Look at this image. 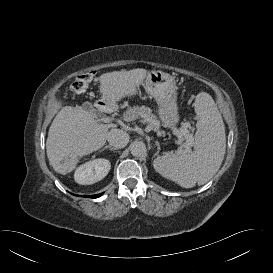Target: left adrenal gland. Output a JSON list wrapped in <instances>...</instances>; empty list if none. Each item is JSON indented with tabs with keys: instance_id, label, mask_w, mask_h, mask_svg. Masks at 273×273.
<instances>
[{
	"instance_id": "obj_1",
	"label": "left adrenal gland",
	"mask_w": 273,
	"mask_h": 273,
	"mask_svg": "<svg viewBox=\"0 0 273 273\" xmlns=\"http://www.w3.org/2000/svg\"><path fill=\"white\" fill-rule=\"evenodd\" d=\"M156 145H157V153H156V155L158 154V152H159V150H160V144H159V142L158 141H156Z\"/></svg>"
}]
</instances>
